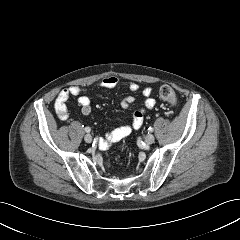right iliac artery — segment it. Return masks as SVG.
Wrapping results in <instances>:
<instances>
[{
    "instance_id": "obj_1",
    "label": "right iliac artery",
    "mask_w": 240,
    "mask_h": 240,
    "mask_svg": "<svg viewBox=\"0 0 240 240\" xmlns=\"http://www.w3.org/2000/svg\"><path fill=\"white\" fill-rule=\"evenodd\" d=\"M85 131L89 133L91 131L90 127H85Z\"/></svg>"
}]
</instances>
